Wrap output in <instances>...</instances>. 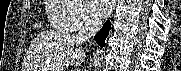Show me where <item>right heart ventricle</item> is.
Returning <instances> with one entry per match:
<instances>
[{
  "instance_id": "obj_1",
  "label": "right heart ventricle",
  "mask_w": 181,
  "mask_h": 71,
  "mask_svg": "<svg viewBox=\"0 0 181 71\" xmlns=\"http://www.w3.org/2000/svg\"><path fill=\"white\" fill-rule=\"evenodd\" d=\"M51 24L58 29H66L64 12L65 8L62 4L55 1H49L47 8Z\"/></svg>"
}]
</instances>
